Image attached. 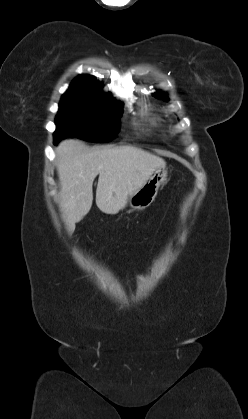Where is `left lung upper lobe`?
<instances>
[{"label": "left lung upper lobe", "instance_id": "left-lung-upper-lobe-1", "mask_svg": "<svg viewBox=\"0 0 248 419\" xmlns=\"http://www.w3.org/2000/svg\"><path fill=\"white\" fill-rule=\"evenodd\" d=\"M156 98H159V99H163V100H168V97H167V95L165 94V93H162V92H156V93H154L153 94Z\"/></svg>", "mask_w": 248, "mask_h": 419}]
</instances>
